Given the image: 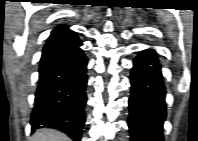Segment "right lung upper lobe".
<instances>
[{"instance_id": "cb5924a9", "label": "right lung upper lobe", "mask_w": 198, "mask_h": 141, "mask_svg": "<svg viewBox=\"0 0 198 141\" xmlns=\"http://www.w3.org/2000/svg\"><path fill=\"white\" fill-rule=\"evenodd\" d=\"M70 32H73V31L69 30L68 26H63V25L58 26L52 31L48 41L52 40V39H55V38H58V37H60L64 34L70 33Z\"/></svg>"}]
</instances>
